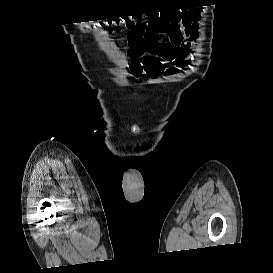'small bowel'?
Returning <instances> with one entry per match:
<instances>
[{
  "instance_id": "c3829d8e",
  "label": "small bowel",
  "mask_w": 273,
  "mask_h": 273,
  "mask_svg": "<svg viewBox=\"0 0 273 273\" xmlns=\"http://www.w3.org/2000/svg\"><path fill=\"white\" fill-rule=\"evenodd\" d=\"M198 22L197 12L170 14L147 22L148 25L156 24V27H151L149 35L141 42L132 44L129 39L126 43L117 42V46L127 52V66L131 76L134 78L143 75L155 78L161 74L171 76L178 73L179 68L187 67L191 51V43L188 40L198 38ZM162 36L167 38L164 40ZM144 54L149 56L144 57ZM158 59L171 61L176 67L165 70Z\"/></svg>"
}]
</instances>
